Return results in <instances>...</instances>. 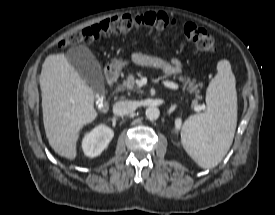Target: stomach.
Segmentation results:
<instances>
[{
    "label": "stomach",
    "instance_id": "1",
    "mask_svg": "<svg viewBox=\"0 0 275 215\" xmlns=\"http://www.w3.org/2000/svg\"><path fill=\"white\" fill-rule=\"evenodd\" d=\"M127 62L123 59H114L107 67L109 74H118L125 66Z\"/></svg>",
    "mask_w": 275,
    "mask_h": 215
}]
</instances>
